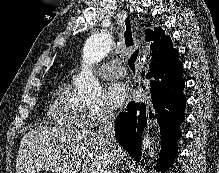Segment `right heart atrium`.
<instances>
[{
	"label": "right heart atrium",
	"mask_w": 219,
	"mask_h": 173,
	"mask_svg": "<svg viewBox=\"0 0 219 173\" xmlns=\"http://www.w3.org/2000/svg\"><path fill=\"white\" fill-rule=\"evenodd\" d=\"M114 118V111L107 106H100L93 111L84 113V123L86 127L96 128L104 123L110 122Z\"/></svg>",
	"instance_id": "right-heart-atrium-1"
}]
</instances>
